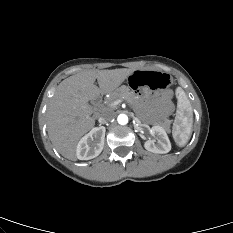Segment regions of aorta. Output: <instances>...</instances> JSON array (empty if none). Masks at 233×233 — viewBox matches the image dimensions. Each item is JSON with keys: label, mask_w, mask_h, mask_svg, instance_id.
<instances>
[{"label": "aorta", "mask_w": 233, "mask_h": 233, "mask_svg": "<svg viewBox=\"0 0 233 233\" xmlns=\"http://www.w3.org/2000/svg\"><path fill=\"white\" fill-rule=\"evenodd\" d=\"M117 121L120 125H126L128 123V116L125 114H120L117 117Z\"/></svg>", "instance_id": "762f6f07"}]
</instances>
